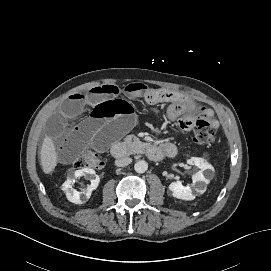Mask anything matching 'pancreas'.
Masks as SVG:
<instances>
[{"label":"pancreas","mask_w":271,"mask_h":271,"mask_svg":"<svg viewBox=\"0 0 271 271\" xmlns=\"http://www.w3.org/2000/svg\"><path fill=\"white\" fill-rule=\"evenodd\" d=\"M124 143L135 152H139L142 148V142L134 135H128L124 139Z\"/></svg>","instance_id":"1"}]
</instances>
